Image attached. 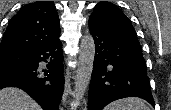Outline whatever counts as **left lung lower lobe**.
Here are the masks:
<instances>
[{
    "label": "left lung lower lobe",
    "mask_w": 171,
    "mask_h": 110,
    "mask_svg": "<svg viewBox=\"0 0 171 110\" xmlns=\"http://www.w3.org/2000/svg\"><path fill=\"white\" fill-rule=\"evenodd\" d=\"M89 30L96 53L88 110H102L108 103L124 97H140L154 107L141 47L110 34L92 19Z\"/></svg>",
    "instance_id": "left-lung-lower-lobe-1"
}]
</instances>
